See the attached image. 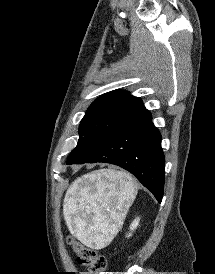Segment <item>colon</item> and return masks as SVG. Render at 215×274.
<instances>
[{"instance_id": "1", "label": "colon", "mask_w": 215, "mask_h": 274, "mask_svg": "<svg viewBox=\"0 0 215 274\" xmlns=\"http://www.w3.org/2000/svg\"><path fill=\"white\" fill-rule=\"evenodd\" d=\"M71 246L77 254L78 263L88 268L87 274H103L107 268V260L104 255L77 242H71Z\"/></svg>"}]
</instances>
